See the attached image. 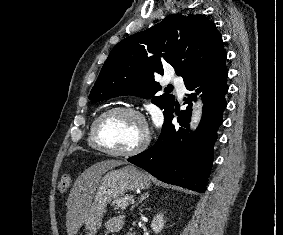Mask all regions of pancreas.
Segmentation results:
<instances>
[{
    "mask_svg": "<svg viewBox=\"0 0 283 235\" xmlns=\"http://www.w3.org/2000/svg\"><path fill=\"white\" fill-rule=\"evenodd\" d=\"M133 200V195L129 194L122 198H117L112 202V206L115 210L117 209H125Z\"/></svg>",
    "mask_w": 283,
    "mask_h": 235,
    "instance_id": "pancreas-1",
    "label": "pancreas"
}]
</instances>
